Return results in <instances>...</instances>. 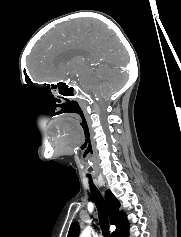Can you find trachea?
<instances>
[{
	"label": "trachea",
	"instance_id": "3493384b",
	"mask_svg": "<svg viewBox=\"0 0 181 237\" xmlns=\"http://www.w3.org/2000/svg\"><path fill=\"white\" fill-rule=\"evenodd\" d=\"M89 182H90L91 196L98 209L99 224L102 229V234L104 237H111L109 233V220L107 216L105 202L99 190L93 185L91 179Z\"/></svg>",
	"mask_w": 181,
	"mask_h": 237
}]
</instances>
